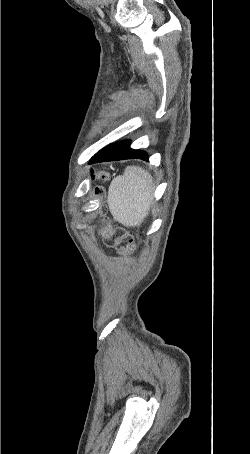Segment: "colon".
<instances>
[{"label": "colon", "mask_w": 250, "mask_h": 454, "mask_svg": "<svg viewBox=\"0 0 250 454\" xmlns=\"http://www.w3.org/2000/svg\"><path fill=\"white\" fill-rule=\"evenodd\" d=\"M102 180L107 179L108 174L101 172L93 174ZM95 195H102L104 188L97 186L94 190ZM106 246L114 248L122 257H129L136 251V244L133 237L122 227H110L104 225L100 228Z\"/></svg>", "instance_id": "5ec220e1"}]
</instances>
